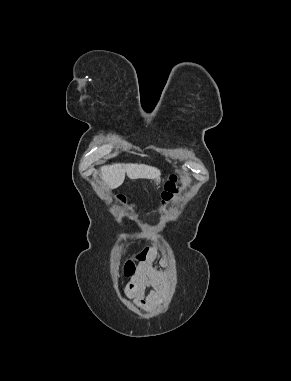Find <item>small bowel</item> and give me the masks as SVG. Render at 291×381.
Instances as JSON below:
<instances>
[{
    "instance_id": "small-bowel-1",
    "label": "small bowel",
    "mask_w": 291,
    "mask_h": 381,
    "mask_svg": "<svg viewBox=\"0 0 291 381\" xmlns=\"http://www.w3.org/2000/svg\"><path fill=\"white\" fill-rule=\"evenodd\" d=\"M156 247L146 249L140 257L135 276L126 284L125 295L133 304L146 312L153 311L167 294L168 276L154 267ZM163 265V261H161Z\"/></svg>"
}]
</instances>
